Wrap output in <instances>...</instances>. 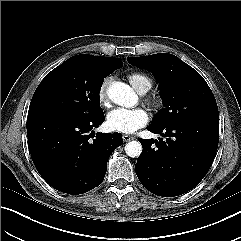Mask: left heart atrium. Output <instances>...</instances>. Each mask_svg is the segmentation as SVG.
Returning a JSON list of instances; mask_svg holds the SVG:
<instances>
[{
    "instance_id": "1",
    "label": "left heart atrium",
    "mask_w": 241,
    "mask_h": 241,
    "mask_svg": "<svg viewBox=\"0 0 241 241\" xmlns=\"http://www.w3.org/2000/svg\"><path fill=\"white\" fill-rule=\"evenodd\" d=\"M106 122L112 131L134 133L147 124L148 114L142 108H116L108 113Z\"/></svg>"
}]
</instances>
